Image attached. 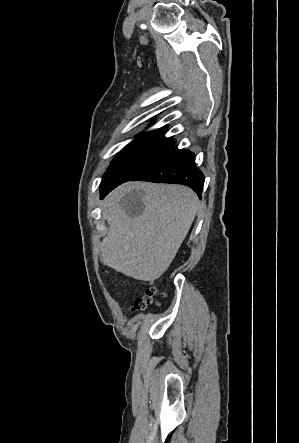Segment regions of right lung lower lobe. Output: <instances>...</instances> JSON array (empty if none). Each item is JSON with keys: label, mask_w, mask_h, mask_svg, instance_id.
I'll list each match as a JSON object with an SVG mask.
<instances>
[{"label": "right lung lower lobe", "mask_w": 299, "mask_h": 443, "mask_svg": "<svg viewBox=\"0 0 299 443\" xmlns=\"http://www.w3.org/2000/svg\"><path fill=\"white\" fill-rule=\"evenodd\" d=\"M131 181L182 184L192 188L201 198L204 175L196 167L195 156L192 152L186 149L172 148L160 160L132 178ZM117 186L112 185L101 189V198H104Z\"/></svg>", "instance_id": "right-lung-lower-lobe-1"}]
</instances>
